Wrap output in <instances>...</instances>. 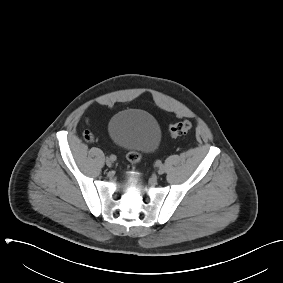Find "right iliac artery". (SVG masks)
<instances>
[{
	"instance_id": "82829eb1",
	"label": "right iliac artery",
	"mask_w": 283,
	"mask_h": 283,
	"mask_svg": "<svg viewBox=\"0 0 283 283\" xmlns=\"http://www.w3.org/2000/svg\"><path fill=\"white\" fill-rule=\"evenodd\" d=\"M110 159H111L112 161H115V160H116V156H115V155H111V156H110Z\"/></svg>"
}]
</instances>
